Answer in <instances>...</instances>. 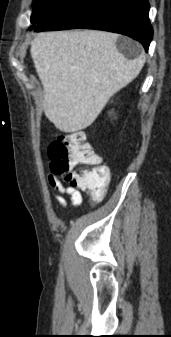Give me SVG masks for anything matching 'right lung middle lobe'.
I'll return each instance as SVG.
<instances>
[{"label":"right lung middle lobe","instance_id":"1","mask_svg":"<svg viewBox=\"0 0 171 337\" xmlns=\"http://www.w3.org/2000/svg\"><path fill=\"white\" fill-rule=\"evenodd\" d=\"M69 0H34L33 13L31 15L32 26L30 30L37 25L50 19L58 11H60Z\"/></svg>","mask_w":171,"mask_h":337}]
</instances>
